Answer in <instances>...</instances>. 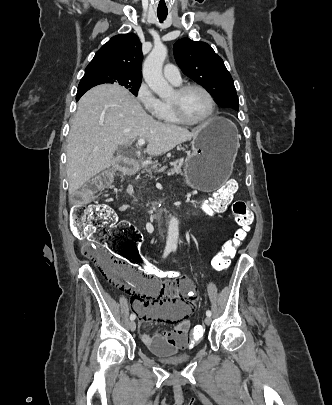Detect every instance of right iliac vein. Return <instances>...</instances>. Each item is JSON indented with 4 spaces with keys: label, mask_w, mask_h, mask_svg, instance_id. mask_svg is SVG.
Returning <instances> with one entry per match:
<instances>
[{
    "label": "right iliac vein",
    "mask_w": 332,
    "mask_h": 405,
    "mask_svg": "<svg viewBox=\"0 0 332 405\" xmlns=\"http://www.w3.org/2000/svg\"><path fill=\"white\" fill-rule=\"evenodd\" d=\"M129 329L131 330V331H135V329H136V323H135V321H131L130 323H129Z\"/></svg>",
    "instance_id": "63e3f726"
}]
</instances>
